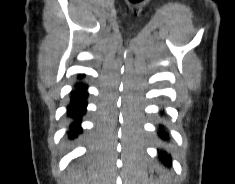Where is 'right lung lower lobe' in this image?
<instances>
[{"label": "right lung lower lobe", "mask_w": 235, "mask_h": 184, "mask_svg": "<svg viewBox=\"0 0 235 184\" xmlns=\"http://www.w3.org/2000/svg\"><path fill=\"white\" fill-rule=\"evenodd\" d=\"M83 76L80 75L78 78L81 79ZM76 89L72 92L71 101L68 105V115L74 119L71 124V131L69 137L75 138L79 133H82L81 129V117L85 114L87 106L88 93L85 92L87 85L82 82L75 84Z\"/></svg>", "instance_id": "right-lung-lower-lobe-1"}]
</instances>
